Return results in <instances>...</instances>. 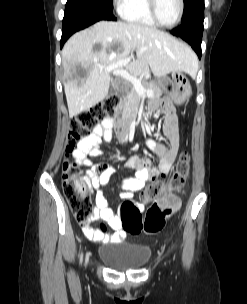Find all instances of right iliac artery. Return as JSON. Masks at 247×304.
Masks as SVG:
<instances>
[{
	"instance_id": "82829eb1",
	"label": "right iliac artery",
	"mask_w": 247,
	"mask_h": 304,
	"mask_svg": "<svg viewBox=\"0 0 247 304\" xmlns=\"http://www.w3.org/2000/svg\"><path fill=\"white\" fill-rule=\"evenodd\" d=\"M80 262H82V254H81V256H80Z\"/></svg>"
}]
</instances>
